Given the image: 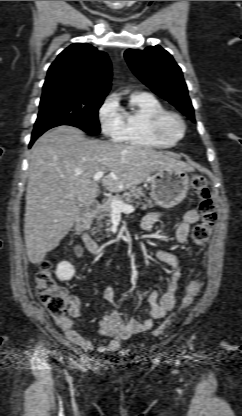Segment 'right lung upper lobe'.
<instances>
[{
    "label": "right lung upper lobe",
    "mask_w": 242,
    "mask_h": 416,
    "mask_svg": "<svg viewBox=\"0 0 242 416\" xmlns=\"http://www.w3.org/2000/svg\"><path fill=\"white\" fill-rule=\"evenodd\" d=\"M111 71L105 52L87 43H74L63 50L49 67L42 96L105 97L110 90Z\"/></svg>",
    "instance_id": "1"
}]
</instances>
